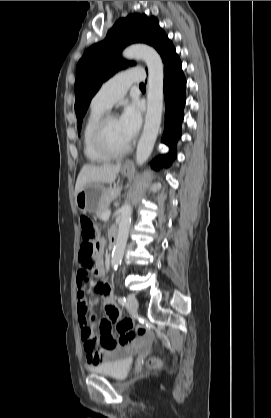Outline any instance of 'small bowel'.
<instances>
[{
    "label": "small bowel",
    "instance_id": "small-bowel-1",
    "mask_svg": "<svg viewBox=\"0 0 271 418\" xmlns=\"http://www.w3.org/2000/svg\"><path fill=\"white\" fill-rule=\"evenodd\" d=\"M102 246V242H98L95 247V242L88 241L76 250L78 321L86 359L88 364L92 366L113 359L123 352H128L134 345L143 342V340H134L133 338L124 344L114 337L113 325H118L122 319L121 312L114 302L110 285L102 280L105 274ZM91 275H95L101 280L95 286L96 291L103 299L104 309V318L98 323V334L87 318V314L93 310L96 304L95 299L89 302L86 297L87 285L91 283ZM119 334L121 336L120 332Z\"/></svg>",
    "mask_w": 271,
    "mask_h": 418
}]
</instances>
